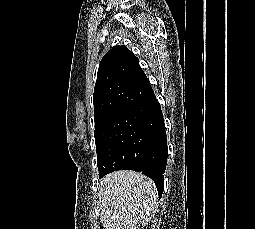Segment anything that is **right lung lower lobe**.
<instances>
[{
    "mask_svg": "<svg viewBox=\"0 0 255 229\" xmlns=\"http://www.w3.org/2000/svg\"><path fill=\"white\" fill-rule=\"evenodd\" d=\"M125 112L129 116L141 120L147 128L152 129L155 133L141 163L127 169L142 172L153 179L160 198L164 189L163 174L168 158L165 124L160 104L154 96L141 104L128 108Z\"/></svg>",
    "mask_w": 255,
    "mask_h": 229,
    "instance_id": "98d812e1",
    "label": "right lung lower lobe"
}]
</instances>
